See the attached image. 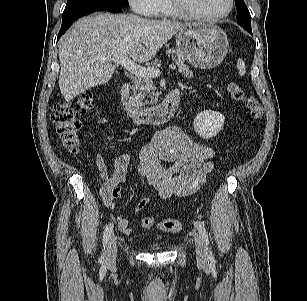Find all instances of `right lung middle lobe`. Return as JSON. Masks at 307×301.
<instances>
[{
	"label": "right lung middle lobe",
	"mask_w": 307,
	"mask_h": 301,
	"mask_svg": "<svg viewBox=\"0 0 307 301\" xmlns=\"http://www.w3.org/2000/svg\"><path fill=\"white\" fill-rule=\"evenodd\" d=\"M100 6H115V7H127V0H68L63 12V17L86 10L93 7Z\"/></svg>",
	"instance_id": "1"
}]
</instances>
